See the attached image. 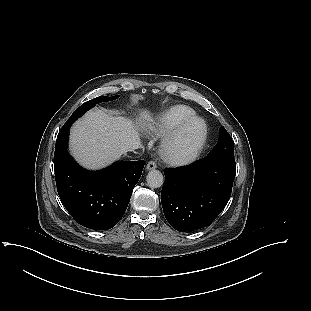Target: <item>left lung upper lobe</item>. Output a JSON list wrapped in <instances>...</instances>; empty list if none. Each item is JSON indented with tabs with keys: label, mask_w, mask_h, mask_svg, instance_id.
Segmentation results:
<instances>
[{
	"label": "left lung upper lobe",
	"mask_w": 311,
	"mask_h": 311,
	"mask_svg": "<svg viewBox=\"0 0 311 311\" xmlns=\"http://www.w3.org/2000/svg\"><path fill=\"white\" fill-rule=\"evenodd\" d=\"M219 133L218 143L208 154V157H224L234 159V142L231 136L223 126L219 129Z\"/></svg>",
	"instance_id": "5c2ea615"
}]
</instances>
